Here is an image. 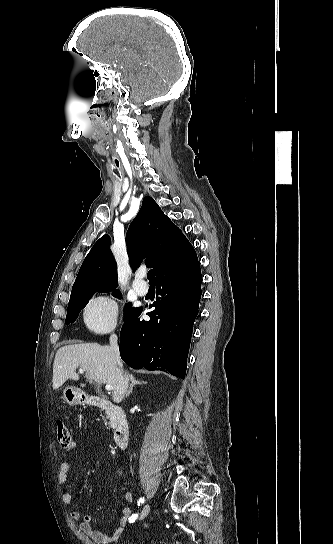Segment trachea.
I'll use <instances>...</instances> for the list:
<instances>
[{"label":"trachea","mask_w":333,"mask_h":544,"mask_svg":"<svg viewBox=\"0 0 333 544\" xmlns=\"http://www.w3.org/2000/svg\"><path fill=\"white\" fill-rule=\"evenodd\" d=\"M147 279L149 280V282H152V283L155 282V275L152 269L148 271Z\"/></svg>","instance_id":"3493384b"}]
</instances>
